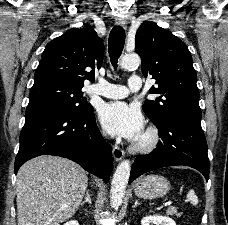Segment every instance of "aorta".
Masks as SVG:
<instances>
[{
    "mask_svg": "<svg viewBox=\"0 0 228 225\" xmlns=\"http://www.w3.org/2000/svg\"><path fill=\"white\" fill-rule=\"evenodd\" d=\"M139 64H141V58L139 54H135V52L124 54L120 60L121 68H137ZM130 171L131 165L129 161H121L118 167H116V171L111 181L110 191V207H112V209H118V207L122 205L130 177Z\"/></svg>",
    "mask_w": 228,
    "mask_h": 225,
    "instance_id": "1",
    "label": "aorta"
}]
</instances>
